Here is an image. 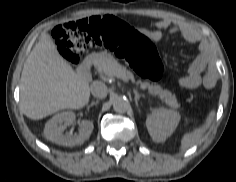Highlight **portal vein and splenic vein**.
I'll list each match as a JSON object with an SVG mask.
<instances>
[{
	"instance_id": "portal-vein-and-splenic-vein-1",
	"label": "portal vein and splenic vein",
	"mask_w": 236,
	"mask_h": 182,
	"mask_svg": "<svg viewBox=\"0 0 236 182\" xmlns=\"http://www.w3.org/2000/svg\"><path fill=\"white\" fill-rule=\"evenodd\" d=\"M117 76L119 77V78H121L122 80H124V81H128V78L127 77H125V76H122V75H119V74H117Z\"/></svg>"
}]
</instances>
